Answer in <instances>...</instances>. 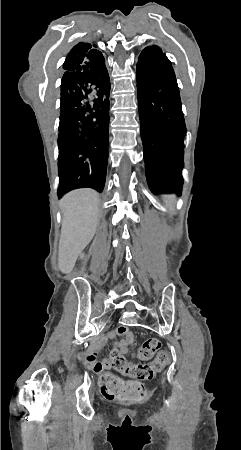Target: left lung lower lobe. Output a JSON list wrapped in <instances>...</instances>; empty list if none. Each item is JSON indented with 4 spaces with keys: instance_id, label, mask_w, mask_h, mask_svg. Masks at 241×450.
<instances>
[{
    "instance_id": "obj_1",
    "label": "left lung lower lobe",
    "mask_w": 241,
    "mask_h": 450,
    "mask_svg": "<svg viewBox=\"0 0 241 450\" xmlns=\"http://www.w3.org/2000/svg\"><path fill=\"white\" fill-rule=\"evenodd\" d=\"M136 77L149 188L181 195L186 126L174 69L159 47L148 46L138 58Z\"/></svg>"
}]
</instances>
